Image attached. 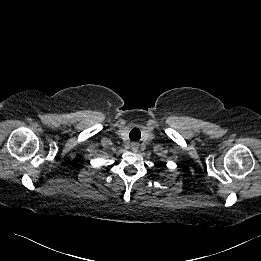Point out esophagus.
I'll return each instance as SVG.
<instances>
[{
	"label": "esophagus",
	"instance_id": "34e87169",
	"mask_svg": "<svg viewBox=\"0 0 261 261\" xmlns=\"http://www.w3.org/2000/svg\"><path fill=\"white\" fill-rule=\"evenodd\" d=\"M139 148V143L138 142H132L131 143V149L136 152Z\"/></svg>",
	"mask_w": 261,
	"mask_h": 261
}]
</instances>
